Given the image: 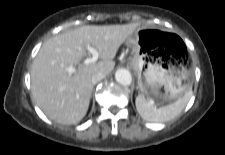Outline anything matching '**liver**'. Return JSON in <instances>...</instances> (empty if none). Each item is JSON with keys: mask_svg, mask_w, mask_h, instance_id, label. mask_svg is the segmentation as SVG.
Instances as JSON below:
<instances>
[{"mask_svg": "<svg viewBox=\"0 0 225 155\" xmlns=\"http://www.w3.org/2000/svg\"><path fill=\"white\" fill-rule=\"evenodd\" d=\"M139 28L125 25H86L58 34L40 48L31 68V92L37 106L51 120L75 124L86 115L97 72L109 74L119 47ZM99 52L97 63H81L88 55L87 47ZM77 66L74 73L66 68Z\"/></svg>", "mask_w": 225, "mask_h": 155, "instance_id": "1", "label": "liver"}]
</instances>
